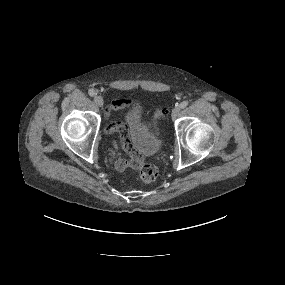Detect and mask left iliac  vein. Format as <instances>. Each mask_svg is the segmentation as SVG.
<instances>
[{
  "mask_svg": "<svg viewBox=\"0 0 285 285\" xmlns=\"http://www.w3.org/2000/svg\"><path fill=\"white\" fill-rule=\"evenodd\" d=\"M180 107L179 106H176L173 110H172V118L175 119L179 113H180Z\"/></svg>",
  "mask_w": 285,
  "mask_h": 285,
  "instance_id": "obj_1",
  "label": "left iliac vein"
}]
</instances>
